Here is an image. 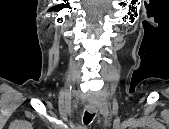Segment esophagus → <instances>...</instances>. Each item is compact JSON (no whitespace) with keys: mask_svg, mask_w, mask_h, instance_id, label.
Returning <instances> with one entry per match:
<instances>
[{"mask_svg":"<svg viewBox=\"0 0 169 129\" xmlns=\"http://www.w3.org/2000/svg\"><path fill=\"white\" fill-rule=\"evenodd\" d=\"M86 110L90 113H94L96 112V109L94 106H91V105H86Z\"/></svg>","mask_w":169,"mask_h":129,"instance_id":"obj_1","label":"esophagus"}]
</instances>
